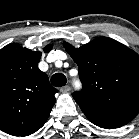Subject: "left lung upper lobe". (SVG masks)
<instances>
[{"label": "left lung upper lobe", "instance_id": "1", "mask_svg": "<svg viewBox=\"0 0 139 139\" xmlns=\"http://www.w3.org/2000/svg\"><path fill=\"white\" fill-rule=\"evenodd\" d=\"M78 65L83 84L73 98L81 110H139V55L122 43L99 37L74 48L63 43Z\"/></svg>", "mask_w": 139, "mask_h": 139}]
</instances>
